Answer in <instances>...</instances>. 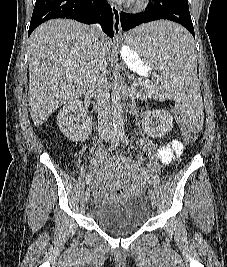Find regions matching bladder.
Returning <instances> with one entry per match:
<instances>
[{"instance_id":"31cf9c89","label":"bladder","mask_w":227,"mask_h":267,"mask_svg":"<svg viewBox=\"0 0 227 267\" xmlns=\"http://www.w3.org/2000/svg\"><path fill=\"white\" fill-rule=\"evenodd\" d=\"M148 204L141 194L114 200H96L90 217L107 232L126 235L142 227L149 218Z\"/></svg>"}]
</instances>
